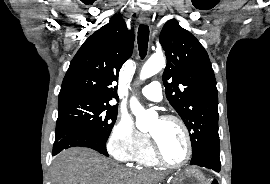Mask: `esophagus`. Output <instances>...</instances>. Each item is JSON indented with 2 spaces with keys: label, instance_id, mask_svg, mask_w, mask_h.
Segmentation results:
<instances>
[{
  "label": "esophagus",
  "instance_id": "1",
  "mask_svg": "<svg viewBox=\"0 0 270 184\" xmlns=\"http://www.w3.org/2000/svg\"><path fill=\"white\" fill-rule=\"evenodd\" d=\"M140 22L146 24L150 21V16L147 12H142L139 16Z\"/></svg>",
  "mask_w": 270,
  "mask_h": 184
}]
</instances>
